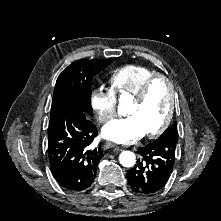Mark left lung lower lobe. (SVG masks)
Segmentation results:
<instances>
[{"label": "left lung lower lobe", "instance_id": "0a47b994", "mask_svg": "<svg viewBox=\"0 0 221 221\" xmlns=\"http://www.w3.org/2000/svg\"><path fill=\"white\" fill-rule=\"evenodd\" d=\"M177 141L159 137L154 142L138 148L137 164L127 171L131 188L140 194H153L167 183L175 161Z\"/></svg>", "mask_w": 221, "mask_h": 221}]
</instances>
